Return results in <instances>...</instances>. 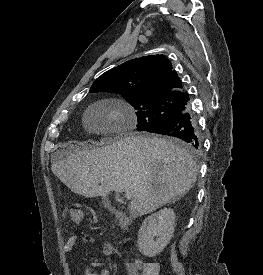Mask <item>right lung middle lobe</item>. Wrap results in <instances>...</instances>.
Instances as JSON below:
<instances>
[{"label": "right lung middle lobe", "instance_id": "1", "mask_svg": "<svg viewBox=\"0 0 263 275\" xmlns=\"http://www.w3.org/2000/svg\"><path fill=\"white\" fill-rule=\"evenodd\" d=\"M108 91L122 94L137 110V130L147 131L167 122L176 115L189 109L188 95L159 94L134 95L120 89H94L90 92Z\"/></svg>", "mask_w": 263, "mask_h": 275}]
</instances>
